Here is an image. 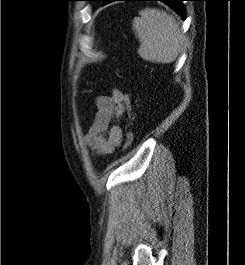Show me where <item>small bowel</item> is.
Wrapping results in <instances>:
<instances>
[{
	"label": "small bowel",
	"instance_id": "1",
	"mask_svg": "<svg viewBox=\"0 0 245 265\" xmlns=\"http://www.w3.org/2000/svg\"><path fill=\"white\" fill-rule=\"evenodd\" d=\"M123 96L122 91L113 88L110 95H100L95 98L94 121L83 137L85 145L94 153L108 155L120 145L122 128L118 121L127 109ZM112 120L117 122L110 126Z\"/></svg>",
	"mask_w": 245,
	"mask_h": 265
}]
</instances>
